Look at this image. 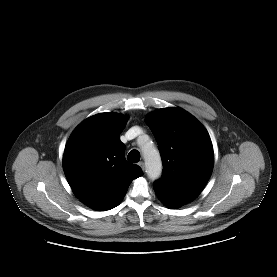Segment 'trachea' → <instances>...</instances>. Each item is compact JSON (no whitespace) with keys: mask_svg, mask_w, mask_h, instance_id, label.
<instances>
[{"mask_svg":"<svg viewBox=\"0 0 277 277\" xmlns=\"http://www.w3.org/2000/svg\"><path fill=\"white\" fill-rule=\"evenodd\" d=\"M127 160L132 163H137L140 160V153L137 150H132L127 156Z\"/></svg>","mask_w":277,"mask_h":277,"instance_id":"3493384b","label":"trachea"}]
</instances>
